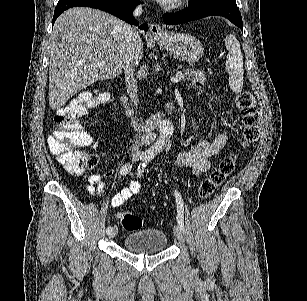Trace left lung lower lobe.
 I'll list each match as a JSON object with an SVG mask.
<instances>
[{
    "label": "left lung lower lobe",
    "mask_w": 307,
    "mask_h": 301,
    "mask_svg": "<svg viewBox=\"0 0 307 301\" xmlns=\"http://www.w3.org/2000/svg\"><path fill=\"white\" fill-rule=\"evenodd\" d=\"M207 16H223L243 31L242 17L237 5L221 1L189 6L178 13H166L163 15V21L167 25H176Z\"/></svg>",
    "instance_id": "left-lung-lower-lobe-1"
}]
</instances>
